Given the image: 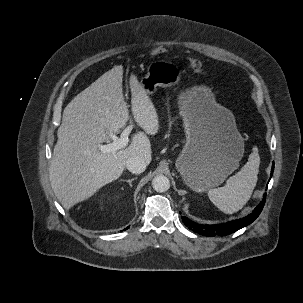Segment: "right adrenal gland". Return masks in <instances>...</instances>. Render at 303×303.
Segmentation results:
<instances>
[{"instance_id": "right-adrenal-gland-1", "label": "right adrenal gland", "mask_w": 303, "mask_h": 303, "mask_svg": "<svg viewBox=\"0 0 303 303\" xmlns=\"http://www.w3.org/2000/svg\"><path fill=\"white\" fill-rule=\"evenodd\" d=\"M135 179H137V177H134V178L129 179V180H123V179H121V181L127 182L129 184V186L132 187V181H134Z\"/></svg>"}]
</instances>
